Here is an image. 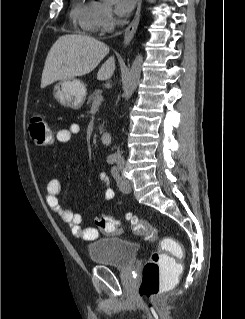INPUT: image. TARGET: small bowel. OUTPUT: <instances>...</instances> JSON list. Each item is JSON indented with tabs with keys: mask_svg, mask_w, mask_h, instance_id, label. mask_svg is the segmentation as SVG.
<instances>
[{
	"mask_svg": "<svg viewBox=\"0 0 245 319\" xmlns=\"http://www.w3.org/2000/svg\"><path fill=\"white\" fill-rule=\"evenodd\" d=\"M81 128L78 124H71L68 128L61 129L56 133V140L59 143L65 144L70 142L73 136L80 134ZM99 180L104 188L103 198L105 201H112L115 198V192L110 187L109 177L106 173L99 174ZM62 183L52 178L47 184L46 202L48 206L66 223L74 236L81 237L86 241H92L99 236V231L95 227L82 228L80 226L82 215L74 212L72 209L64 206L60 201L62 193Z\"/></svg>",
	"mask_w": 245,
	"mask_h": 319,
	"instance_id": "c3829d8e",
	"label": "small bowel"
}]
</instances>
